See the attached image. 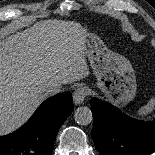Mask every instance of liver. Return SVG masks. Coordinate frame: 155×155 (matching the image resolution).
I'll use <instances>...</instances> for the list:
<instances>
[{
	"mask_svg": "<svg viewBox=\"0 0 155 155\" xmlns=\"http://www.w3.org/2000/svg\"><path fill=\"white\" fill-rule=\"evenodd\" d=\"M79 23L44 20L0 41V136L13 132L46 98V86L89 75Z\"/></svg>",
	"mask_w": 155,
	"mask_h": 155,
	"instance_id": "6515ba94",
	"label": "liver"
}]
</instances>
